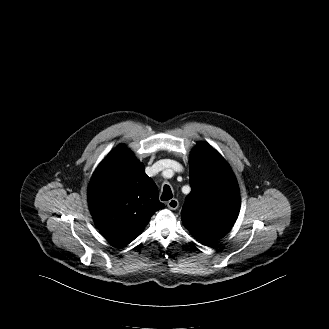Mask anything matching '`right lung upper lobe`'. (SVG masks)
<instances>
[{
	"label": "right lung upper lobe",
	"instance_id": "obj_1",
	"mask_svg": "<svg viewBox=\"0 0 329 329\" xmlns=\"http://www.w3.org/2000/svg\"><path fill=\"white\" fill-rule=\"evenodd\" d=\"M88 204L97 228L122 247L164 207L144 165L124 145L111 151L95 170L88 187Z\"/></svg>",
	"mask_w": 329,
	"mask_h": 329
}]
</instances>
